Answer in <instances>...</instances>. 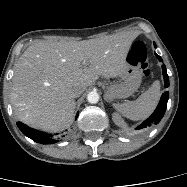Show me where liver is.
Wrapping results in <instances>:
<instances>
[{
  "label": "liver",
  "mask_w": 187,
  "mask_h": 187,
  "mask_svg": "<svg viewBox=\"0 0 187 187\" xmlns=\"http://www.w3.org/2000/svg\"><path fill=\"white\" fill-rule=\"evenodd\" d=\"M135 36L119 33L83 41H36L18 59L11 100L18 118L44 131L67 128L75 101L71 91L84 92L99 76L115 78L128 65Z\"/></svg>",
  "instance_id": "6515ba94"
}]
</instances>
